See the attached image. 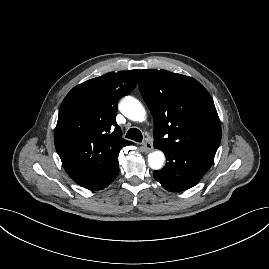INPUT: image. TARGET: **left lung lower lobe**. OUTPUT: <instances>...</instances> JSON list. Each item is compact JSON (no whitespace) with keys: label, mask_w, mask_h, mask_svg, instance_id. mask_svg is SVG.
<instances>
[{"label":"left lung lower lobe","mask_w":269,"mask_h":269,"mask_svg":"<svg viewBox=\"0 0 269 269\" xmlns=\"http://www.w3.org/2000/svg\"><path fill=\"white\" fill-rule=\"evenodd\" d=\"M166 165L154 171V178L168 191L178 192L195 186L211 167L215 152L185 147L160 148Z\"/></svg>","instance_id":"left-lung-lower-lobe-1"}]
</instances>
